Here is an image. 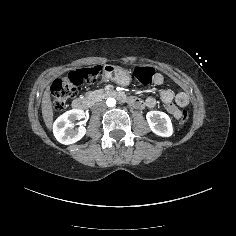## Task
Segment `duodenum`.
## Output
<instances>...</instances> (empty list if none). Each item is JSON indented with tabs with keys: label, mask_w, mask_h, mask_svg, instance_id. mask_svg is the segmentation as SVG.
Instances as JSON below:
<instances>
[{
	"label": "duodenum",
	"mask_w": 236,
	"mask_h": 236,
	"mask_svg": "<svg viewBox=\"0 0 236 236\" xmlns=\"http://www.w3.org/2000/svg\"><path fill=\"white\" fill-rule=\"evenodd\" d=\"M106 96L115 97V98L119 99L120 101L125 102L135 108H141L144 106V104L141 100H139L135 97L127 96L126 94H124L122 92H118L113 89L107 90ZM72 107L75 110L83 111L87 108V101L85 98H82V97L75 98L72 101Z\"/></svg>",
	"instance_id": "obj_1"
}]
</instances>
